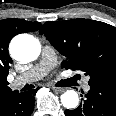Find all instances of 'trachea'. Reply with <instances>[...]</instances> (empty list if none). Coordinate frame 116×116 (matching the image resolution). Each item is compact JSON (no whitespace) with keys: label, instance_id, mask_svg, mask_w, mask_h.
I'll return each mask as SVG.
<instances>
[{"label":"trachea","instance_id":"trachea-1","mask_svg":"<svg viewBox=\"0 0 116 116\" xmlns=\"http://www.w3.org/2000/svg\"><path fill=\"white\" fill-rule=\"evenodd\" d=\"M56 86H65L63 82L56 83Z\"/></svg>","mask_w":116,"mask_h":116}]
</instances>
